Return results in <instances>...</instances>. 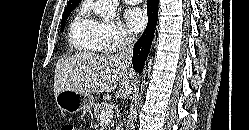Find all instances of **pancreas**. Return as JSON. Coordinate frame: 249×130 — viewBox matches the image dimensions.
<instances>
[{
    "label": "pancreas",
    "mask_w": 249,
    "mask_h": 130,
    "mask_svg": "<svg viewBox=\"0 0 249 130\" xmlns=\"http://www.w3.org/2000/svg\"><path fill=\"white\" fill-rule=\"evenodd\" d=\"M112 109V106L106 102H100L95 105L94 116L97 120H100L102 112H109ZM101 121V120H100Z\"/></svg>",
    "instance_id": "cf45deb5"
}]
</instances>
